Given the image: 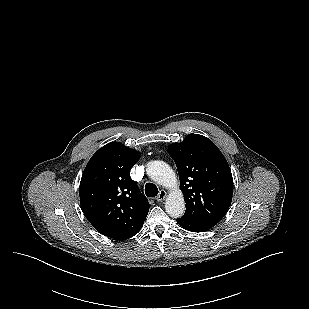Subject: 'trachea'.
Here are the masks:
<instances>
[{
	"label": "trachea",
	"instance_id": "3493384b",
	"mask_svg": "<svg viewBox=\"0 0 309 309\" xmlns=\"http://www.w3.org/2000/svg\"><path fill=\"white\" fill-rule=\"evenodd\" d=\"M145 194L147 197H155L158 194V188L153 183H147L145 185Z\"/></svg>",
	"mask_w": 309,
	"mask_h": 309
}]
</instances>
